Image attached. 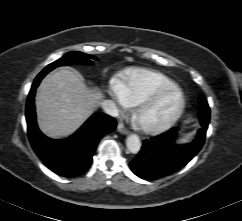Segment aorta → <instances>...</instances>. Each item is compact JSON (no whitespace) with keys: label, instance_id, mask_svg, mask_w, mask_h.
<instances>
[{"label":"aorta","instance_id":"1","mask_svg":"<svg viewBox=\"0 0 242 221\" xmlns=\"http://www.w3.org/2000/svg\"><path fill=\"white\" fill-rule=\"evenodd\" d=\"M126 146L131 153L133 154L138 153L141 148V142L139 137L135 134L128 136L126 140Z\"/></svg>","mask_w":242,"mask_h":221}]
</instances>
